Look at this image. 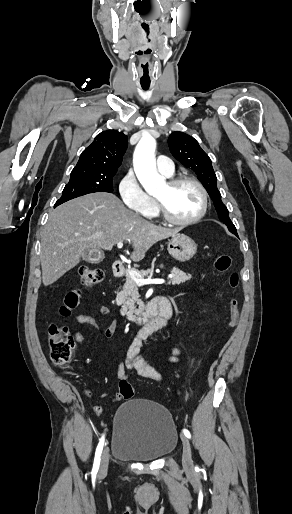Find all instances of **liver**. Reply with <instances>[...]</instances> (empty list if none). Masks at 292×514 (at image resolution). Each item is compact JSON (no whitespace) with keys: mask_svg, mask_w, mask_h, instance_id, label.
Masks as SVG:
<instances>
[{"mask_svg":"<svg viewBox=\"0 0 292 514\" xmlns=\"http://www.w3.org/2000/svg\"><path fill=\"white\" fill-rule=\"evenodd\" d=\"M180 230L150 224L107 192L75 198L49 212L41 236L42 282L50 286L59 280L79 264L84 252L112 250L123 240H131L134 252L130 258L140 262L153 244L174 238Z\"/></svg>","mask_w":292,"mask_h":514,"instance_id":"1","label":"liver"}]
</instances>
